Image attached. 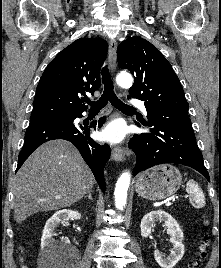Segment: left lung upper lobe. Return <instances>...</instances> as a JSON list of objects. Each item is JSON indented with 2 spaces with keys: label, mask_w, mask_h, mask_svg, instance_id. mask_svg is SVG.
Returning <instances> with one entry per match:
<instances>
[{
  "label": "left lung upper lobe",
  "mask_w": 221,
  "mask_h": 268,
  "mask_svg": "<svg viewBox=\"0 0 221 268\" xmlns=\"http://www.w3.org/2000/svg\"><path fill=\"white\" fill-rule=\"evenodd\" d=\"M120 68L134 75L128 98L145 101L146 109L180 110L188 112L181 83L171 64L147 40L130 37L117 48Z\"/></svg>",
  "instance_id": "left-lung-upper-lobe-1"
}]
</instances>
